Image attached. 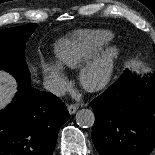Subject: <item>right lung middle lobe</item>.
<instances>
[{
	"label": "right lung middle lobe",
	"mask_w": 155,
	"mask_h": 155,
	"mask_svg": "<svg viewBox=\"0 0 155 155\" xmlns=\"http://www.w3.org/2000/svg\"><path fill=\"white\" fill-rule=\"evenodd\" d=\"M35 24L0 30V69L10 72L21 89L30 83L25 62V44L35 31Z\"/></svg>",
	"instance_id": "dd1d6c3e"
}]
</instances>
